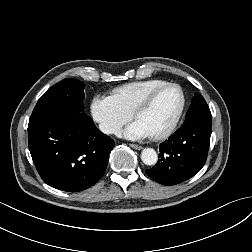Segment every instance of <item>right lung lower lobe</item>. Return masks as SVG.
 I'll use <instances>...</instances> for the list:
<instances>
[{
	"mask_svg": "<svg viewBox=\"0 0 252 252\" xmlns=\"http://www.w3.org/2000/svg\"><path fill=\"white\" fill-rule=\"evenodd\" d=\"M29 150L49 186L78 192L104 174L114 141L82 112H60L28 125Z\"/></svg>",
	"mask_w": 252,
	"mask_h": 252,
	"instance_id": "1",
	"label": "right lung lower lobe"
}]
</instances>
